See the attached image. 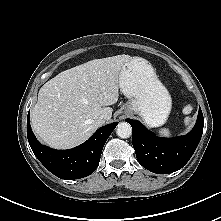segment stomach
Wrapping results in <instances>:
<instances>
[{
  "instance_id": "stomach-1",
  "label": "stomach",
  "mask_w": 221,
  "mask_h": 221,
  "mask_svg": "<svg viewBox=\"0 0 221 221\" xmlns=\"http://www.w3.org/2000/svg\"><path fill=\"white\" fill-rule=\"evenodd\" d=\"M119 86L128 98L122 108L126 115L138 114L150 127H158L166 122L172 99L147 60L130 57L120 71Z\"/></svg>"
}]
</instances>
